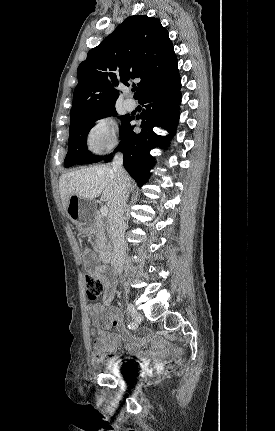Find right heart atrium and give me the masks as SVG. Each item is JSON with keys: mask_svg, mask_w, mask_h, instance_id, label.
<instances>
[{"mask_svg": "<svg viewBox=\"0 0 275 431\" xmlns=\"http://www.w3.org/2000/svg\"><path fill=\"white\" fill-rule=\"evenodd\" d=\"M86 144L89 151L94 154L115 148L118 144V127L115 119L104 116L95 120L87 133Z\"/></svg>", "mask_w": 275, "mask_h": 431, "instance_id": "obj_1", "label": "right heart atrium"}]
</instances>
